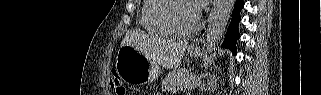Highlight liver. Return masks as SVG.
I'll use <instances>...</instances> for the list:
<instances>
[{"mask_svg":"<svg viewBox=\"0 0 321 95\" xmlns=\"http://www.w3.org/2000/svg\"><path fill=\"white\" fill-rule=\"evenodd\" d=\"M130 45L164 68H177L183 59L188 42L154 39L138 31H128L121 46Z\"/></svg>","mask_w":321,"mask_h":95,"instance_id":"6515ba94","label":"liver"}]
</instances>
